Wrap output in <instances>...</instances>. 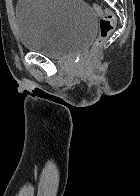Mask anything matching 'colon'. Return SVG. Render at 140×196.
<instances>
[{"label": "colon", "instance_id": "5ec220e1", "mask_svg": "<svg viewBox=\"0 0 140 196\" xmlns=\"http://www.w3.org/2000/svg\"><path fill=\"white\" fill-rule=\"evenodd\" d=\"M92 7L98 14L99 33L93 46L81 61L80 67L84 72L88 71L96 62L105 41L113 31L116 24L115 15L111 10L104 8L99 4H93Z\"/></svg>", "mask_w": 140, "mask_h": 196}]
</instances>
